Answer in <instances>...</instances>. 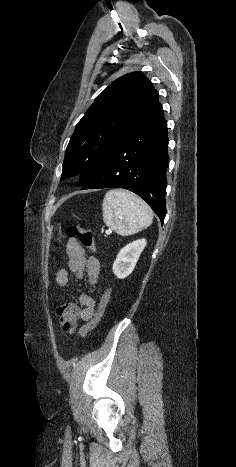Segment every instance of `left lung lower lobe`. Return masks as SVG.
Wrapping results in <instances>:
<instances>
[{
  "mask_svg": "<svg viewBox=\"0 0 236 467\" xmlns=\"http://www.w3.org/2000/svg\"><path fill=\"white\" fill-rule=\"evenodd\" d=\"M168 142L167 122L158 104L121 136L82 190L108 187L130 190L149 204L163 224Z\"/></svg>",
  "mask_w": 236,
  "mask_h": 467,
  "instance_id": "obj_1",
  "label": "left lung lower lobe"
}]
</instances>
